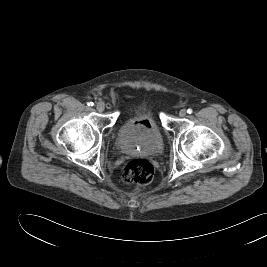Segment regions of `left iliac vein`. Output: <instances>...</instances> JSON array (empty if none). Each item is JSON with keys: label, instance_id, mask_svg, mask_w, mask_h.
Masks as SVG:
<instances>
[{"label": "left iliac vein", "instance_id": "4c4485c4", "mask_svg": "<svg viewBox=\"0 0 267 267\" xmlns=\"http://www.w3.org/2000/svg\"><path fill=\"white\" fill-rule=\"evenodd\" d=\"M186 114H187V112H186L185 109H181V110L179 111V116H180V117H185Z\"/></svg>", "mask_w": 267, "mask_h": 267}]
</instances>
